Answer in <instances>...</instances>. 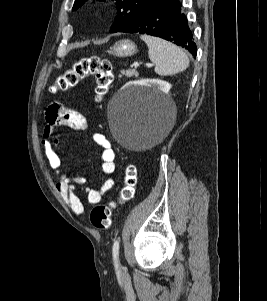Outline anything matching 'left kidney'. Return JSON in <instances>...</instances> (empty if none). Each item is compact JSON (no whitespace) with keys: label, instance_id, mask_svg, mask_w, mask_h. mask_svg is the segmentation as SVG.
I'll use <instances>...</instances> for the list:
<instances>
[{"label":"left kidney","instance_id":"left-kidney-1","mask_svg":"<svg viewBox=\"0 0 267 301\" xmlns=\"http://www.w3.org/2000/svg\"><path fill=\"white\" fill-rule=\"evenodd\" d=\"M147 83H150L151 85L157 87L160 91L163 93H168L171 89V84H169L166 81L158 80V79H153V80H143V81H138V82H133L125 85L124 88H128L132 85H146Z\"/></svg>","mask_w":267,"mask_h":301}]
</instances>
